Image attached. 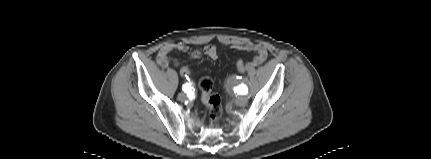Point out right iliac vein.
Instances as JSON below:
<instances>
[{"instance_id":"1","label":"right iliac vein","mask_w":431,"mask_h":159,"mask_svg":"<svg viewBox=\"0 0 431 159\" xmlns=\"http://www.w3.org/2000/svg\"><path fill=\"white\" fill-rule=\"evenodd\" d=\"M186 98H187V96H186L185 93L181 92V93L178 94V100L185 101Z\"/></svg>"}]
</instances>
